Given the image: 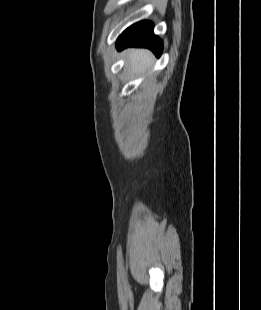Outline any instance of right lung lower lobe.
Returning a JSON list of instances; mask_svg holds the SVG:
<instances>
[{
    "instance_id": "obj_1",
    "label": "right lung lower lobe",
    "mask_w": 261,
    "mask_h": 310,
    "mask_svg": "<svg viewBox=\"0 0 261 310\" xmlns=\"http://www.w3.org/2000/svg\"><path fill=\"white\" fill-rule=\"evenodd\" d=\"M117 48L147 47L159 57L163 50L161 39L153 33V24L149 21L138 22L127 28L118 38Z\"/></svg>"
}]
</instances>
